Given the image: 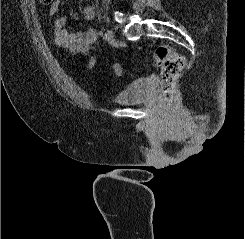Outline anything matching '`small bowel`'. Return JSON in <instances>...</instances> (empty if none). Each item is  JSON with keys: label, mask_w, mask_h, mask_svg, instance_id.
<instances>
[{"label": "small bowel", "mask_w": 245, "mask_h": 239, "mask_svg": "<svg viewBox=\"0 0 245 239\" xmlns=\"http://www.w3.org/2000/svg\"><path fill=\"white\" fill-rule=\"evenodd\" d=\"M61 0H53L50 5V14L54 17V41L55 44L69 51L72 54H88L97 42L96 31L92 27H87L84 31H69L66 25V18L58 16ZM84 20L90 21L94 17V8L86 4L81 9ZM96 66V59L90 57L88 69L93 70Z\"/></svg>", "instance_id": "small-bowel-1"}]
</instances>
